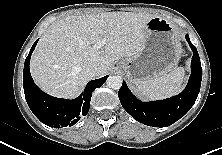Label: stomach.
Here are the masks:
<instances>
[{
  "label": "stomach",
  "instance_id": "0dacf381",
  "mask_svg": "<svg viewBox=\"0 0 222 155\" xmlns=\"http://www.w3.org/2000/svg\"><path fill=\"white\" fill-rule=\"evenodd\" d=\"M145 47L136 55L121 61L120 67L128 80L155 79L167 74L181 56L176 27L168 20L155 16L144 26Z\"/></svg>",
  "mask_w": 222,
  "mask_h": 155
}]
</instances>
